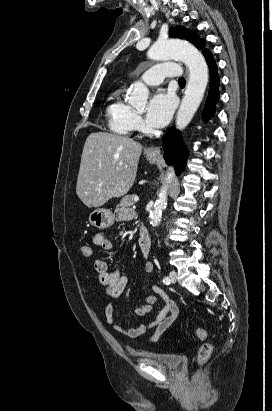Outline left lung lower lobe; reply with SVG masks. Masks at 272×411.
Wrapping results in <instances>:
<instances>
[{"instance_id": "0a47b994", "label": "left lung lower lobe", "mask_w": 272, "mask_h": 411, "mask_svg": "<svg viewBox=\"0 0 272 411\" xmlns=\"http://www.w3.org/2000/svg\"><path fill=\"white\" fill-rule=\"evenodd\" d=\"M210 70V86L208 97L203 110V117L208 120L215 112V104L219 99V77L217 66L210 51L204 54ZM162 145L164 149V159L167 164H175L177 173L181 172L185 164V152L181 145V134L172 127L163 137Z\"/></svg>"}]
</instances>
